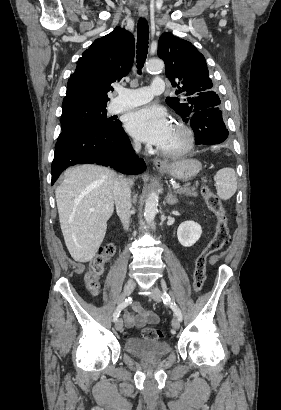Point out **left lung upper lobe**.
Returning a JSON list of instances; mask_svg holds the SVG:
<instances>
[{
	"label": "left lung upper lobe",
	"instance_id": "obj_1",
	"mask_svg": "<svg viewBox=\"0 0 281 410\" xmlns=\"http://www.w3.org/2000/svg\"><path fill=\"white\" fill-rule=\"evenodd\" d=\"M158 56L166 65V76L179 97H169L167 104L186 122L201 109L218 107L220 99L213 91L204 56L188 41L163 33L158 42Z\"/></svg>",
	"mask_w": 281,
	"mask_h": 410
}]
</instances>
